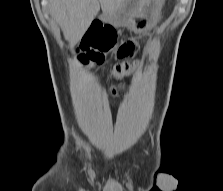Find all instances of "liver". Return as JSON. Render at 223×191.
Wrapping results in <instances>:
<instances>
[{"mask_svg": "<svg viewBox=\"0 0 223 191\" xmlns=\"http://www.w3.org/2000/svg\"><path fill=\"white\" fill-rule=\"evenodd\" d=\"M127 0H49L50 14L61 26L67 40L74 42L88 29L100 7L113 13Z\"/></svg>", "mask_w": 223, "mask_h": 191, "instance_id": "1", "label": "liver"}]
</instances>
